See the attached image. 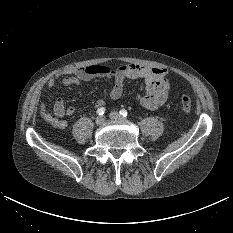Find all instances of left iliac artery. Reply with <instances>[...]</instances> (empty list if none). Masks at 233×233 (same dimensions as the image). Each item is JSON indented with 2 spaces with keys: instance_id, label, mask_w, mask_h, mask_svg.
Masks as SVG:
<instances>
[{
  "instance_id": "left-iliac-artery-1",
  "label": "left iliac artery",
  "mask_w": 233,
  "mask_h": 233,
  "mask_svg": "<svg viewBox=\"0 0 233 233\" xmlns=\"http://www.w3.org/2000/svg\"><path fill=\"white\" fill-rule=\"evenodd\" d=\"M120 114L123 116V117H126L127 116V111L125 109H121L120 110Z\"/></svg>"
}]
</instances>
